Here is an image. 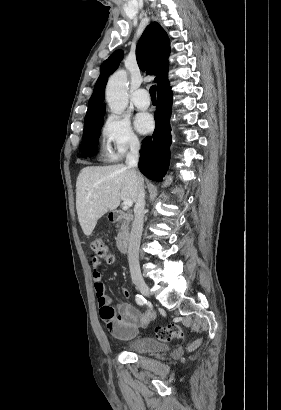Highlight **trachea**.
<instances>
[{"mask_svg":"<svg viewBox=\"0 0 281 410\" xmlns=\"http://www.w3.org/2000/svg\"><path fill=\"white\" fill-rule=\"evenodd\" d=\"M149 93H150L151 99H156V85H153L150 87Z\"/></svg>","mask_w":281,"mask_h":410,"instance_id":"1","label":"trachea"}]
</instances>
